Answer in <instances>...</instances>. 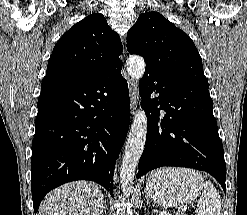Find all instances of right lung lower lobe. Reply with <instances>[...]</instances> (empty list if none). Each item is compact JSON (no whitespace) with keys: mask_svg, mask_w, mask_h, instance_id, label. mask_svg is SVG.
<instances>
[{"mask_svg":"<svg viewBox=\"0 0 247 215\" xmlns=\"http://www.w3.org/2000/svg\"><path fill=\"white\" fill-rule=\"evenodd\" d=\"M121 69L86 82L42 80L31 159L35 213L50 190L70 181H95L113 196L115 162L130 121Z\"/></svg>","mask_w":247,"mask_h":215,"instance_id":"right-lung-lower-lobe-1","label":"right lung lower lobe"}]
</instances>
